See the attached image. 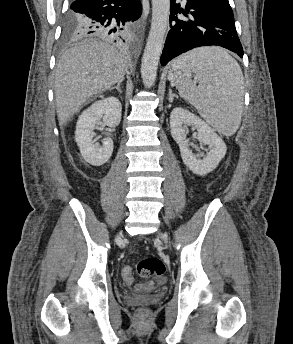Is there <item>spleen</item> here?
I'll use <instances>...</instances> for the list:
<instances>
[{
	"mask_svg": "<svg viewBox=\"0 0 293 344\" xmlns=\"http://www.w3.org/2000/svg\"><path fill=\"white\" fill-rule=\"evenodd\" d=\"M174 64L189 73L176 81L180 95L218 132L234 134L241 123L244 95L243 73L237 61L221 48L201 47L178 57Z\"/></svg>",
	"mask_w": 293,
	"mask_h": 344,
	"instance_id": "1",
	"label": "spleen"
}]
</instances>
